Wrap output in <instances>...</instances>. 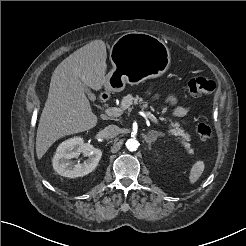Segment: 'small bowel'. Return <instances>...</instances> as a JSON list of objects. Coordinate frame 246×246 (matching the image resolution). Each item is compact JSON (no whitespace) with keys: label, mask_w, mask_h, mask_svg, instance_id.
I'll list each match as a JSON object with an SVG mask.
<instances>
[{"label":"small bowel","mask_w":246,"mask_h":246,"mask_svg":"<svg viewBox=\"0 0 246 246\" xmlns=\"http://www.w3.org/2000/svg\"><path fill=\"white\" fill-rule=\"evenodd\" d=\"M168 102L172 105H175L176 104V98L174 96H170L168 98ZM188 110H189V108H187V107L177 106L174 109V115L178 116V117H183L187 114Z\"/></svg>","instance_id":"c3829d8e"}]
</instances>
